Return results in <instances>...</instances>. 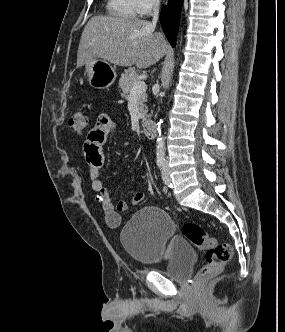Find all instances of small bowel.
<instances>
[{"label": "small bowel", "instance_id": "obj_1", "mask_svg": "<svg viewBox=\"0 0 285 332\" xmlns=\"http://www.w3.org/2000/svg\"><path fill=\"white\" fill-rule=\"evenodd\" d=\"M116 127L117 124L115 120L106 114H101L96 125L90 130L83 144V151L89 165L91 188L96 201L102 206L105 221L111 228H117L120 225L121 212L127 211L130 206L139 204L145 197L143 193H138L130 202L119 200L114 204L109 196L107 188L99 179L104 164L103 147L108 138L116 130Z\"/></svg>", "mask_w": 285, "mask_h": 332}]
</instances>
